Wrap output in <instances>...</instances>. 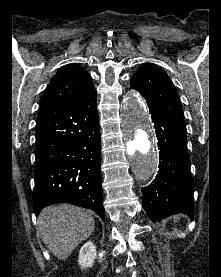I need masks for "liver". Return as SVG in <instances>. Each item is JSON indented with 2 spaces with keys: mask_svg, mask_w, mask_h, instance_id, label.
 <instances>
[{
  "mask_svg": "<svg viewBox=\"0 0 221 277\" xmlns=\"http://www.w3.org/2000/svg\"><path fill=\"white\" fill-rule=\"evenodd\" d=\"M94 228L95 220L90 210L69 204L47 206L37 220V235L60 260L68 258Z\"/></svg>",
  "mask_w": 221,
  "mask_h": 277,
  "instance_id": "1",
  "label": "liver"
}]
</instances>
